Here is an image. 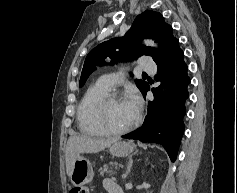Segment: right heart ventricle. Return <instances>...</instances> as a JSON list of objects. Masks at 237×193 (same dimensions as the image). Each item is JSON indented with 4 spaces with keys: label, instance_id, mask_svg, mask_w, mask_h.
<instances>
[{
    "label": "right heart ventricle",
    "instance_id": "right-heart-ventricle-1",
    "mask_svg": "<svg viewBox=\"0 0 237 193\" xmlns=\"http://www.w3.org/2000/svg\"><path fill=\"white\" fill-rule=\"evenodd\" d=\"M110 89L99 82L91 85L84 93L77 108V123L79 130L90 136L105 135L95 122V108L98 102L108 93Z\"/></svg>",
    "mask_w": 237,
    "mask_h": 193
}]
</instances>
